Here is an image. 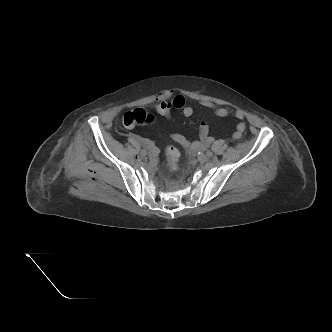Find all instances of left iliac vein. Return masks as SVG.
<instances>
[{"mask_svg":"<svg viewBox=\"0 0 332 332\" xmlns=\"http://www.w3.org/2000/svg\"><path fill=\"white\" fill-rule=\"evenodd\" d=\"M198 161L200 163H206L208 161V157L204 154H201V155L198 156Z\"/></svg>","mask_w":332,"mask_h":332,"instance_id":"left-iliac-vein-1","label":"left iliac vein"}]
</instances>
